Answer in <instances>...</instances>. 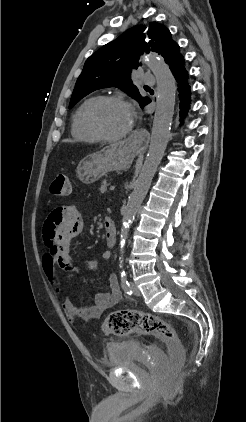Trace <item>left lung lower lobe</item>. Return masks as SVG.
Masks as SVG:
<instances>
[{"mask_svg":"<svg viewBox=\"0 0 246 422\" xmlns=\"http://www.w3.org/2000/svg\"><path fill=\"white\" fill-rule=\"evenodd\" d=\"M168 66L173 73L175 79L178 82V91H179V99H180V117L181 122L184 118L185 114H187L189 106H190V86L187 82L188 79V72L185 69V60L184 57L180 54V48L177 46L175 52L171 56L168 61ZM151 100L148 101L149 104ZM146 104V105H147Z\"/></svg>","mask_w":246,"mask_h":422,"instance_id":"left-lung-lower-lobe-1","label":"left lung lower lobe"}]
</instances>
